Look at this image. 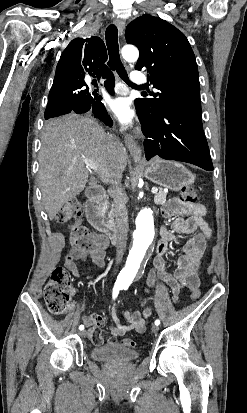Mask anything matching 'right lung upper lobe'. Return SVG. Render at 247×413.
Instances as JSON below:
<instances>
[{"mask_svg": "<svg viewBox=\"0 0 247 413\" xmlns=\"http://www.w3.org/2000/svg\"><path fill=\"white\" fill-rule=\"evenodd\" d=\"M107 51L99 37L72 40L63 51L56 67L54 82L76 81L85 74L97 77L113 75L107 68Z\"/></svg>", "mask_w": 247, "mask_h": 413, "instance_id": "1", "label": "right lung upper lobe"}]
</instances>
